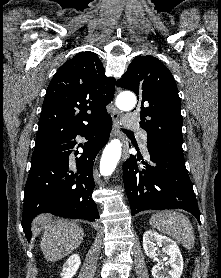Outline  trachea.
Here are the masks:
<instances>
[{
  "mask_svg": "<svg viewBox=\"0 0 221 278\" xmlns=\"http://www.w3.org/2000/svg\"><path fill=\"white\" fill-rule=\"evenodd\" d=\"M122 131H123L124 133H126V134H131V133H132L131 131H128V130H126V129H122Z\"/></svg>",
  "mask_w": 221,
  "mask_h": 278,
  "instance_id": "3493384b",
  "label": "trachea"
}]
</instances>
